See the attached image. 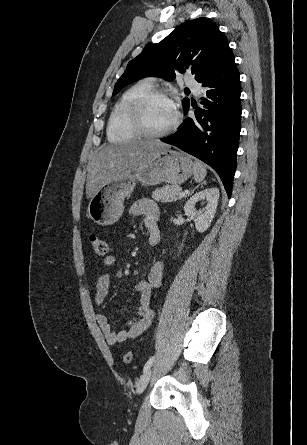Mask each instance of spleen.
<instances>
[{"label":"spleen","mask_w":307,"mask_h":445,"mask_svg":"<svg viewBox=\"0 0 307 445\" xmlns=\"http://www.w3.org/2000/svg\"><path fill=\"white\" fill-rule=\"evenodd\" d=\"M206 172V164H203V162H199V160H195L193 164V174L196 182H201V180L205 178Z\"/></svg>","instance_id":"obj_1"}]
</instances>
